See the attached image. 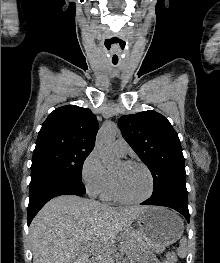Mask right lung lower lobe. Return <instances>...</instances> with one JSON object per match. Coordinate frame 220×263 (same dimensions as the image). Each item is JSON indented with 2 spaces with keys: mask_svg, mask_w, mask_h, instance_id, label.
<instances>
[{
  "mask_svg": "<svg viewBox=\"0 0 220 263\" xmlns=\"http://www.w3.org/2000/svg\"><path fill=\"white\" fill-rule=\"evenodd\" d=\"M29 188L28 226L50 199L65 194L82 196L85 193V186L81 180L48 172L31 175Z\"/></svg>",
  "mask_w": 220,
  "mask_h": 263,
  "instance_id": "right-lung-lower-lobe-1",
  "label": "right lung lower lobe"
}]
</instances>
